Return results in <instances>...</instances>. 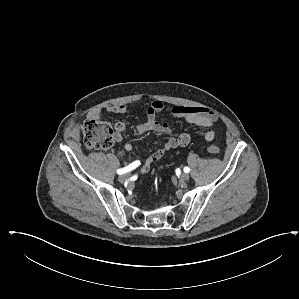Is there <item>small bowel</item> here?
<instances>
[{
  "mask_svg": "<svg viewBox=\"0 0 299 299\" xmlns=\"http://www.w3.org/2000/svg\"><path fill=\"white\" fill-rule=\"evenodd\" d=\"M163 110V104L160 101H153L146 111L145 121L136 126V132L139 134L153 131L162 134H168L171 132V128L168 123L161 122L157 119V115ZM106 111L110 114L127 115L131 113V110L124 104H118L108 106ZM104 113L101 109H93L89 113L90 118H99ZM171 114L174 117L182 118L189 124H194L207 128L205 133V140L207 142L213 141L215 137L214 127L217 122V114L206 107L196 106H174L171 108ZM126 129V125L123 122H117L115 124V140L117 142L122 141L123 132ZM190 142V135L186 132H182L177 136H172L163 144V146L148 157L142 166L141 172L146 173L153 162L161 159L164 154L172 149L179 147H185ZM133 145L131 143H125L124 150L118 151L119 156H123L124 152H131Z\"/></svg>",
  "mask_w": 299,
  "mask_h": 299,
  "instance_id": "obj_1",
  "label": "small bowel"
}]
</instances>
